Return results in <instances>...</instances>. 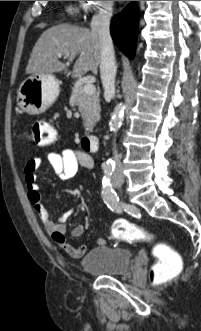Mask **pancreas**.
<instances>
[{
    "label": "pancreas",
    "instance_id": "obj_1",
    "mask_svg": "<svg viewBox=\"0 0 201 331\" xmlns=\"http://www.w3.org/2000/svg\"><path fill=\"white\" fill-rule=\"evenodd\" d=\"M71 102L78 106L85 130L92 131L100 118L99 96L97 94H86L83 87H81L73 91Z\"/></svg>",
    "mask_w": 201,
    "mask_h": 331
}]
</instances>
